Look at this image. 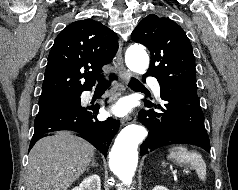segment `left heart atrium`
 <instances>
[{"label": "left heart atrium", "mask_w": 238, "mask_h": 190, "mask_svg": "<svg viewBox=\"0 0 238 190\" xmlns=\"http://www.w3.org/2000/svg\"><path fill=\"white\" fill-rule=\"evenodd\" d=\"M132 108V104L130 99L124 97L119 99L112 107H111V113L118 116L123 117L127 115Z\"/></svg>", "instance_id": "1"}]
</instances>
